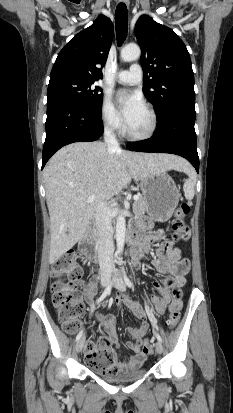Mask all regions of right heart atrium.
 Wrapping results in <instances>:
<instances>
[{
	"label": "right heart atrium",
	"instance_id": "d8ad5b80",
	"mask_svg": "<svg viewBox=\"0 0 233 413\" xmlns=\"http://www.w3.org/2000/svg\"><path fill=\"white\" fill-rule=\"evenodd\" d=\"M101 120L103 125L112 132H120L123 128L122 119L108 97L103 99L101 105Z\"/></svg>",
	"mask_w": 233,
	"mask_h": 413
}]
</instances>
